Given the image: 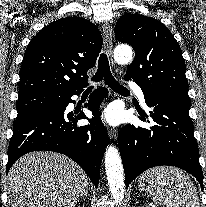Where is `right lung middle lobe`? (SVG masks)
I'll use <instances>...</instances> for the list:
<instances>
[{
    "label": "right lung middle lobe",
    "instance_id": "dd1d6c3e",
    "mask_svg": "<svg viewBox=\"0 0 206 207\" xmlns=\"http://www.w3.org/2000/svg\"><path fill=\"white\" fill-rule=\"evenodd\" d=\"M64 96L58 94H34L21 97L17 104V118H24L46 111H60L63 109Z\"/></svg>",
    "mask_w": 206,
    "mask_h": 207
}]
</instances>
